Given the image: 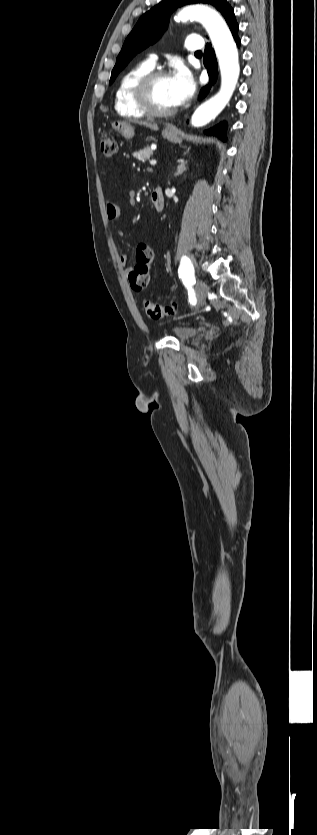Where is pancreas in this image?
<instances>
[{"mask_svg":"<svg viewBox=\"0 0 317 835\" xmlns=\"http://www.w3.org/2000/svg\"><path fill=\"white\" fill-rule=\"evenodd\" d=\"M152 155H153V150L150 149L148 146L145 147L144 149L138 151V152L133 153V156L135 158H137L139 161H142V162H145L146 160H149Z\"/></svg>","mask_w":317,"mask_h":835,"instance_id":"1","label":"pancreas"}]
</instances>
